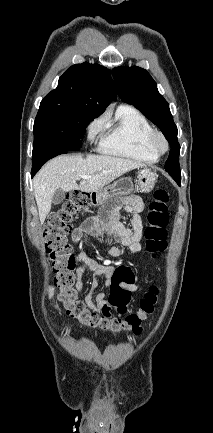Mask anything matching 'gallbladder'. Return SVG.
<instances>
[{
  "label": "gallbladder",
  "instance_id": "obj_1",
  "mask_svg": "<svg viewBox=\"0 0 213 433\" xmlns=\"http://www.w3.org/2000/svg\"><path fill=\"white\" fill-rule=\"evenodd\" d=\"M64 199H65V191H63L62 189H57L53 195L52 203L54 205H58L62 203Z\"/></svg>",
  "mask_w": 213,
  "mask_h": 433
}]
</instances>
